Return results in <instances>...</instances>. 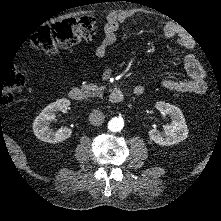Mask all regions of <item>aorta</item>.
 <instances>
[{"label":"aorta","instance_id":"762f6f07","mask_svg":"<svg viewBox=\"0 0 221 221\" xmlns=\"http://www.w3.org/2000/svg\"><path fill=\"white\" fill-rule=\"evenodd\" d=\"M124 127V121L121 117H114L108 123V129L112 132H117L122 130Z\"/></svg>","mask_w":221,"mask_h":221}]
</instances>
